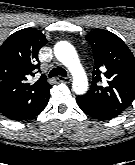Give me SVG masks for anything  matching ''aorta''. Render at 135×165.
<instances>
[{"label": "aorta", "instance_id": "obj_1", "mask_svg": "<svg viewBox=\"0 0 135 165\" xmlns=\"http://www.w3.org/2000/svg\"><path fill=\"white\" fill-rule=\"evenodd\" d=\"M54 53L71 72L74 92L78 95L84 94L88 89V81L75 48L70 43L61 41L55 45Z\"/></svg>", "mask_w": 135, "mask_h": 165}]
</instances>
